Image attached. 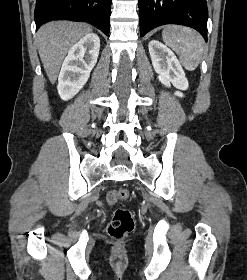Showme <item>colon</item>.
<instances>
[{
	"mask_svg": "<svg viewBox=\"0 0 247 280\" xmlns=\"http://www.w3.org/2000/svg\"><path fill=\"white\" fill-rule=\"evenodd\" d=\"M130 197L126 188H119L114 191L115 201H125ZM135 227L134 214L125 208H118L113 212L107 226V233L114 239H122L133 231Z\"/></svg>",
	"mask_w": 247,
	"mask_h": 280,
	"instance_id": "5ec220e1",
	"label": "colon"
}]
</instances>
